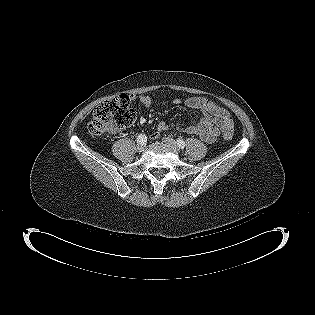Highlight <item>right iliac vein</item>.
<instances>
[{
    "label": "right iliac vein",
    "mask_w": 315,
    "mask_h": 315,
    "mask_svg": "<svg viewBox=\"0 0 315 315\" xmlns=\"http://www.w3.org/2000/svg\"><path fill=\"white\" fill-rule=\"evenodd\" d=\"M144 149H145V145H144L143 143H139V144L137 145V150H138L139 152L144 151Z\"/></svg>",
    "instance_id": "obj_1"
}]
</instances>
